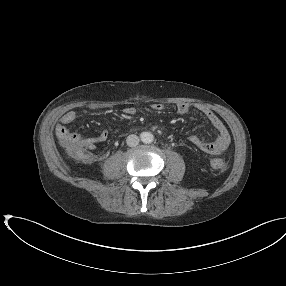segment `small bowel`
<instances>
[{
    "instance_id": "obj_1",
    "label": "small bowel",
    "mask_w": 286,
    "mask_h": 286,
    "mask_svg": "<svg viewBox=\"0 0 286 286\" xmlns=\"http://www.w3.org/2000/svg\"><path fill=\"white\" fill-rule=\"evenodd\" d=\"M151 108L160 112L164 110L165 106L162 103H154L151 105ZM195 108L200 111L214 126L218 131V136L213 141H205L200 138L198 135H192L190 141L201 151L210 153V154H219L227 149L230 144V134L224 124V122L207 106L203 104H196ZM93 110L97 108L93 107ZM177 113L186 114L191 110V105L186 102L177 103L175 106ZM126 115L132 116L136 113V108L127 107L124 109ZM77 119V115L74 111H67L64 113L60 119V124L55 127V134L58 139H63L69 135H76L79 138L81 146L87 151H93L96 149L97 144L105 142L108 139V131L102 130L95 136H83L81 134L72 133L66 127L67 125L73 124Z\"/></svg>"
}]
</instances>
